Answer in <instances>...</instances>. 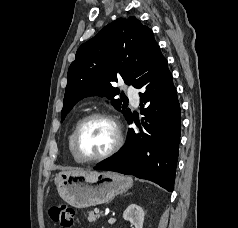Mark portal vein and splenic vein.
<instances>
[{
	"label": "portal vein and splenic vein",
	"mask_w": 238,
	"mask_h": 228,
	"mask_svg": "<svg viewBox=\"0 0 238 228\" xmlns=\"http://www.w3.org/2000/svg\"><path fill=\"white\" fill-rule=\"evenodd\" d=\"M95 213L99 214L100 213L99 209H95Z\"/></svg>",
	"instance_id": "1"
}]
</instances>
